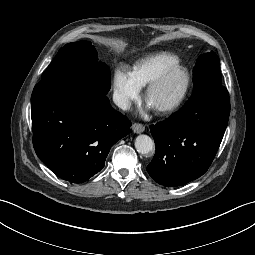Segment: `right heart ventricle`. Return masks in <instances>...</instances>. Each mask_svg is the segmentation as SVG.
<instances>
[{"mask_svg":"<svg viewBox=\"0 0 255 255\" xmlns=\"http://www.w3.org/2000/svg\"><path fill=\"white\" fill-rule=\"evenodd\" d=\"M176 63H179L177 55L167 51H160L141 58L134 66L133 73L139 85L144 87L166 68Z\"/></svg>","mask_w":255,"mask_h":255,"instance_id":"e07e8e85","label":"right heart ventricle"}]
</instances>
